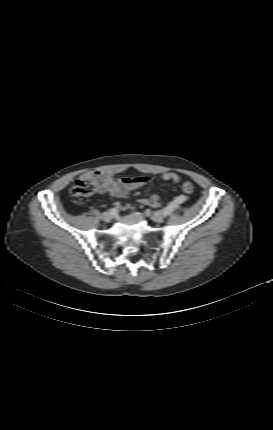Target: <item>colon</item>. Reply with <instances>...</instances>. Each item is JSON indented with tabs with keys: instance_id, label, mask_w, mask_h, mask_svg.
Returning a JSON list of instances; mask_svg holds the SVG:
<instances>
[{
	"instance_id": "1",
	"label": "colon",
	"mask_w": 273,
	"mask_h": 430,
	"mask_svg": "<svg viewBox=\"0 0 273 430\" xmlns=\"http://www.w3.org/2000/svg\"><path fill=\"white\" fill-rule=\"evenodd\" d=\"M186 194L194 191V186L190 182H185L182 186ZM98 190V178L95 173L87 172L78 177L71 188V193L76 197H88Z\"/></svg>"
}]
</instances>
